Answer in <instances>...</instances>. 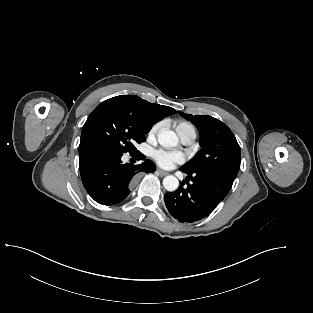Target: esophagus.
I'll use <instances>...</instances> for the list:
<instances>
[{
	"mask_svg": "<svg viewBox=\"0 0 313 313\" xmlns=\"http://www.w3.org/2000/svg\"><path fill=\"white\" fill-rule=\"evenodd\" d=\"M157 173H158L160 176H166V175L169 174L168 172L163 171V170H161V169H157Z\"/></svg>",
	"mask_w": 313,
	"mask_h": 313,
	"instance_id": "34e87169",
	"label": "esophagus"
}]
</instances>
